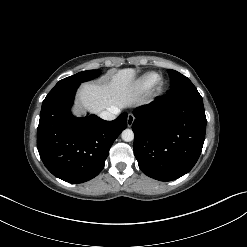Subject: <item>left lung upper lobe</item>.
I'll use <instances>...</instances> for the list:
<instances>
[{"label": "left lung upper lobe", "mask_w": 247, "mask_h": 247, "mask_svg": "<svg viewBox=\"0 0 247 247\" xmlns=\"http://www.w3.org/2000/svg\"><path fill=\"white\" fill-rule=\"evenodd\" d=\"M171 80V90L196 89L192 82L181 73L175 70H168Z\"/></svg>", "instance_id": "obj_1"}]
</instances>
